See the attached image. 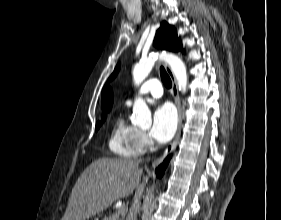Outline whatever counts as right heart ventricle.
<instances>
[{"mask_svg": "<svg viewBox=\"0 0 281 220\" xmlns=\"http://www.w3.org/2000/svg\"><path fill=\"white\" fill-rule=\"evenodd\" d=\"M138 136L139 130L129 124L123 116H118L109 137V148L118 156L136 157L142 152Z\"/></svg>", "mask_w": 281, "mask_h": 220, "instance_id": "right-heart-ventricle-1", "label": "right heart ventricle"}]
</instances>
